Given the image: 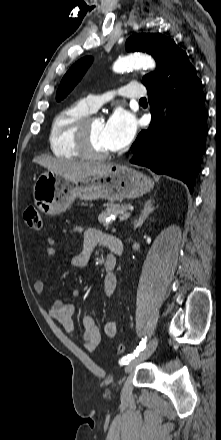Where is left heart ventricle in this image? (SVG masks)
Listing matches in <instances>:
<instances>
[{"mask_svg": "<svg viewBox=\"0 0 221 440\" xmlns=\"http://www.w3.org/2000/svg\"><path fill=\"white\" fill-rule=\"evenodd\" d=\"M105 123L101 119H95L89 127L90 140L93 148L100 152L109 151L105 144L103 131Z\"/></svg>", "mask_w": 221, "mask_h": 440, "instance_id": "left-heart-ventricle-1", "label": "left heart ventricle"}]
</instances>
